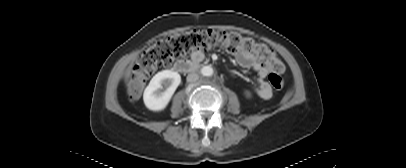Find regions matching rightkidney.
I'll use <instances>...</instances> for the list:
<instances>
[{"instance_id": "ca27d5eb", "label": "right kidney", "mask_w": 406, "mask_h": 168, "mask_svg": "<svg viewBox=\"0 0 406 168\" xmlns=\"http://www.w3.org/2000/svg\"><path fill=\"white\" fill-rule=\"evenodd\" d=\"M181 82V76L171 70L158 72L146 87L143 100L145 106L152 111L163 110L171 100L175 90ZM163 86L165 91H161Z\"/></svg>"}]
</instances>
